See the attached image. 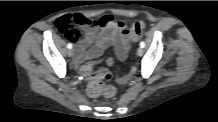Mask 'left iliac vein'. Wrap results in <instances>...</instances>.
<instances>
[{"label": "left iliac vein", "instance_id": "4c4485c4", "mask_svg": "<svg viewBox=\"0 0 218 122\" xmlns=\"http://www.w3.org/2000/svg\"><path fill=\"white\" fill-rule=\"evenodd\" d=\"M137 54H138V56H142V55H143V49H142V47H139V48L137 49Z\"/></svg>", "mask_w": 218, "mask_h": 122}]
</instances>
